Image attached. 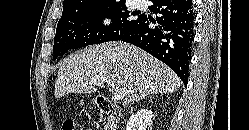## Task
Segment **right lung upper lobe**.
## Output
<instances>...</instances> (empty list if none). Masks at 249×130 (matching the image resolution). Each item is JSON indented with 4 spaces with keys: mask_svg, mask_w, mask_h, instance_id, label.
I'll use <instances>...</instances> for the list:
<instances>
[{
    "mask_svg": "<svg viewBox=\"0 0 249 130\" xmlns=\"http://www.w3.org/2000/svg\"><path fill=\"white\" fill-rule=\"evenodd\" d=\"M110 1H116V0H64L63 11H77L93 4L110 2Z\"/></svg>",
    "mask_w": 249,
    "mask_h": 130,
    "instance_id": "right-lung-upper-lobe-1",
    "label": "right lung upper lobe"
}]
</instances>
